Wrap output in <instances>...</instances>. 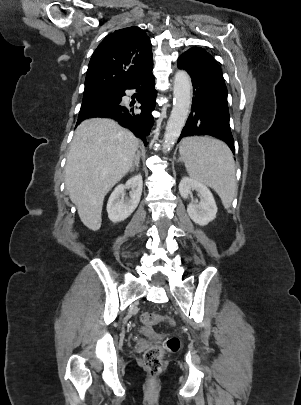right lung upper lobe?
<instances>
[{"label":"right lung upper lobe","instance_id":"right-lung-upper-lobe-1","mask_svg":"<svg viewBox=\"0 0 301 405\" xmlns=\"http://www.w3.org/2000/svg\"><path fill=\"white\" fill-rule=\"evenodd\" d=\"M153 65L151 42L133 26L109 34L97 47L88 65L85 90L122 91Z\"/></svg>","mask_w":301,"mask_h":405}]
</instances>
